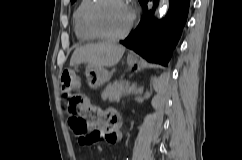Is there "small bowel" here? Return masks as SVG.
<instances>
[{"mask_svg": "<svg viewBox=\"0 0 242 160\" xmlns=\"http://www.w3.org/2000/svg\"><path fill=\"white\" fill-rule=\"evenodd\" d=\"M69 124H70L71 129L74 132L71 120L69 121ZM95 130H98L101 132L100 138L97 139L95 143H97L100 139L104 138L107 143L116 144V143L120 142L122 139V134L120 131V119L116 115L107 116L105 123L104 124L98 123L96 125V127L94 128V131ZM82 145H84V144H82ZM85 146H88V145H85Z\"/></svg>", "mask_w": 242, "mask_h": 160, "instance_id": "obj_1", "label": "small bowel"}]
</instances>
